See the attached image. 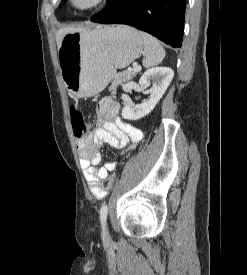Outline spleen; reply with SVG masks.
I'll return each instance as SVG.
<instances>
[{"mask_svg":"<svg viewBox=\"0 0 247 275\" xmlns=\"http://www.w3.org/2000/svg\"><path fill=\"white\" fill-rule=\"evenodd\" d=\"M144 44V58L142 64L146 68L156 66L165 58V50L161 43L152 35L140 32Z\"/></svg>","mask_w":247,"mask_h":275,"instance_id":"3e777b00","label":"spleen"}]
</instances>
